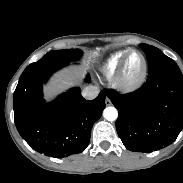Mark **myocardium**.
Wrapping results in <instances>:
<instances>
[{
	"mask_svg": "<svg viewBox=\"0 0 183 183\" xmlns=\"http://www.w3.org/2000/svg\"><path fill=\"white\" fill-rule=\"evenodd\" d=\"M132 54H137L140 56L142 61V66L140 72L134 78H127L125 76V68L127 64L128 58ZM148 71V64L147 59L144 54L136 49L129 50L126 55L123 57L121 63L119 64L118 68L115 71L113 77V84L114 86L122 91V92H131L138 89L145 81Z\"/></svg>",
	"mask_w": 183,
	"mask_h": 183,
	"instance_id": "myocardium-1",
	"label": "myocardium"
}]
</instances>
